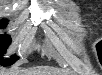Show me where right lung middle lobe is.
Returning a JSON list of instances; mask_svg holds the SVG:
<instances>
[{
    "instance_id": "1",
    "label": "right lung middle lobe",
    "mask_w": 102,
    "mask_h": 75,
    "mask_svg": "<svg viewBox=\"0 0 102 75\" xmlns=\"http://www.w3.org/2000/svg\"><path fill=\"white\" fill-rule=\"evenodd\" d=\"M7 24V20H1V26H5ZM11 43V38L8 35H2L0 37V52L1 55H3L6 52V48H8L9 44ZM19 57H17L16 55H12L10 58L8 59H4L2 61V65L3 66H9L11 64H13L15 61L18 60Z\"/></svg>"
}]
</instances>
